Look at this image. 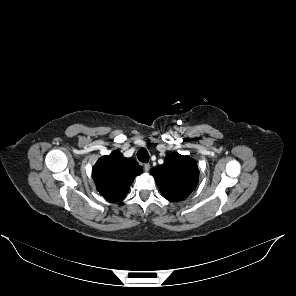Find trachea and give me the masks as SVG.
Wrapping results in <instances>:
<instances>
[{
    "instance_id": "obj_1",
    "label": "trachea",
    "mask_w": 296,
    "mask_h": 296,
    "mask_svg": "<svg viewBox=\"0 0 296 296\" xmlns=\"http://www.w3.org/2000/svg\"><path fill=\"white\" fill-rule=\"evenodd\" d=\"M139 161L147 163L149 161V153L145 148H140L137 152Z\"/></svg>"
}]
</instances>
